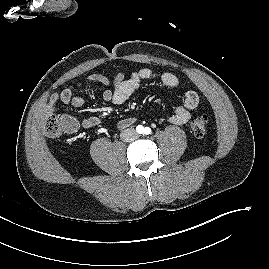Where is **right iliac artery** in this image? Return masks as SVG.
Wrapping results in <instances>:
<instances>
[{
    "label": "right iliac artery",
    "mask_w": 269,
    "mask_h": 269,
    "mask_svg": "<svg viewBox=\"0 0 269 269\" xmlns=\"http://www.w3.org/2000/svg\"><path fill=\"white\" fill-rule=\"evenodd\" d=\"M136 130H137L138 133H142L143 130H144V127L142 125H138Z\"/></svg>",
    "instance_id": "82829eb1"
}]
</instances>
